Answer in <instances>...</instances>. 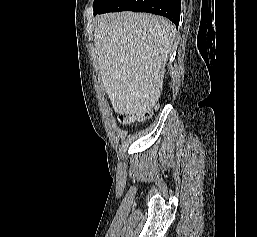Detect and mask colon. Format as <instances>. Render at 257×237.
<instances>
[{
	"label": "colon",
	"mask_w": 257,
	"mask_h": 237,
	"mask_svg": "<svg viewBox=\"0 0 257 237\" xmlns=\"http://www.w3.org/2000/svg\"><path fill=\"white\" fill-rule=\"evenodd\" d=\"M148 113H136V114H123L120 115L118 120L120 123L128 125L133 123L136 119L142 120Z\"/></svg>",
	"instance_id": "1"
}]
</instances>
